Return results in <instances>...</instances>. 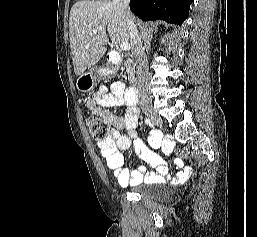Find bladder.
I'll return each mask as SVG.
<instances>
[{"instance_id": "obj_1", "label": "bladder", "mask_w": 257, "mask_h": 237, "mask_svg": "<svg viewBox=\"0 0 257 237\" xmlns=\"http://www.w3.org/2000/svg\"><path fill=\"white\" fill-rule=\"evenodd\" d=\"M144 184H153V183H146V182H143ZM138 194H140L141 196H146L147 195V192L146 191H144V190H139L138 191ZM160 198H162V197H160Z\"/></svg>"}]
</instances>
